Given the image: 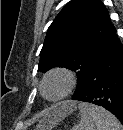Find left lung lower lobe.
Masks as SVG:
<instances>
[{"mask_svg":"<svg viewBox=\"0 0 123 130\" xmlns=\"http://www.w3.org/2000/svg\"><path fill=\"white\" fill-rule=\"evenodd\" d=\"M74 100L102 106L123 124V45L118 38L93 63Z\"/></svg>","mask_w":123,"mask_h":130,"instance_id":"obj_1","label":"left lung lower lobe"}]
</instances>
